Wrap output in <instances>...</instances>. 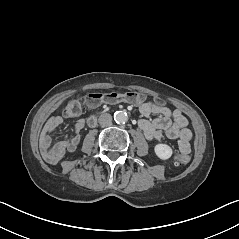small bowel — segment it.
Wrapping results in <instances>:
<instances>
[{"label":"small bowel","instance_id":"1","mask_svg":"<svg viewBox=\"0 0 239 239\" xmlns=\"http://www.w3.org/2000/svg\"><path fill=\"white\" fill-rule=\"evenodd\" d=\"M89 107H95L88 105ZM144 117L158 115L153 120L140 119L139 127L142 129L148 140H160L163 133L169 139L178 140V147L182 154L190 152V140L192 132L188 128V120L179 109H170L156 102H145L139 107ZM65 116V115H64ZM63 118L54 115L48 119L40 135V151L44 160L50 164H56L63 158L66 152H73L80 142L79 132L85 126V120H76L74 128L75 134L66 140H62L51 145V134L62 123Z\"/></svg>","mask_w":239,"mask_h":239}]
</instances>
